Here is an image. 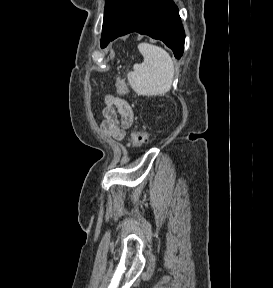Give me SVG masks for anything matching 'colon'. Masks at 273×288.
<instances>
[{
  "mask_svg": "<svg viewBox=\"0 0 273 288\" xmlns=\"http://www.w3.org/2000/svg\"><path fill=\"white\" fill-rule=\"evenodd\" d=\"M116 90L120 95H125L128 92L127 85L122 78L116 80ZM148 139V134L145 129H138L132 132L129 145L134 148L143 146Z\"/></svg>",
  "mask_w": 273,
  "mask_h": 288,
  "instance_id": "obj_1",
  "label": "colon"
}]
</instances>
